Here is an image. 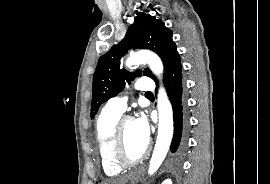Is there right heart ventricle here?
<instances>
[{
  "instance_id": "obj_1",
  "label": "right heart ventricle",
  "mask_w": 270,
  "mask_h": 184,
  "mask_svg": "<svg viewBox=\"0 0 270 184\" xmlns=\"http://www.w3.org/2000/svg\"><path fill=\"white\" fill-rule=\"evenodd\" d=\"M121 116L107 106L101 111L96 122V140L103 172L107 176H116L122 167L116 165L112 158V140L114 128Z\"/></svg>"
}]
</instances>
